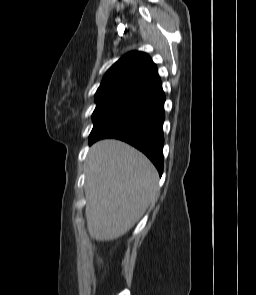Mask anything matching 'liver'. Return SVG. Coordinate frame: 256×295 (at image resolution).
I'll return each instance as SVG.
<instances>
[{"mask_svg":"<svg viewBox=\"0 0 256 295\" xmlns=\"http://www.w3.org/2000/svg\"><path fill=\"white\" fill-rule=\"evenodd\" d=\"M85 174L87 229L97 241L124 235L159 195L154 165L119 140L96 142L89 150Z\"/></svg>","mask_w":256,"mask_h":295,"instance_id":"6515ba94","label":"liver"}]
</instances>
